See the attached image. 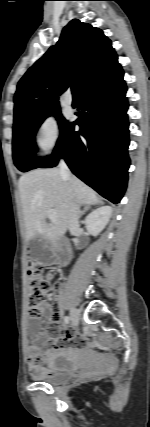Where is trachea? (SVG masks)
<instances>
[{
  "mask_svg": "<svg viewBox=\"0 0 150 427\" xmlns=\"http://www.w3.org/2000/svg\"><path fill=\"white\" fill-rule=\"evenodd\" d=\"M71 90H72V94L73 95H77V90H76V86L75 85H72Z\"/></svg>",
  "mask_w": 150,
  "mask_h": 427,
  "instance_id": "1",
  "label": "trachea"
}]
</instances>
